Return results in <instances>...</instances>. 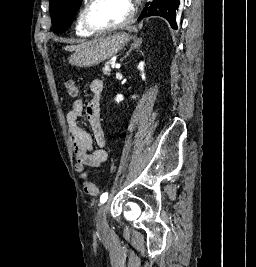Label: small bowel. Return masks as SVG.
Segmentation results:
<instances>
[{"mask_svg":"<svg viewBox=\"0 0 256 267\" xmlns=\"http://www.w3.org/2000/svg\"><path fill=\"white\" fill-rule=\"evenodd\" d=\"M91 97L85 108L92 136L79 126V120L84 115V103L81 99L75 100L71 110L67 113L66 121L73 142V153L76 168L82 171L85 166L98 167L108 159L105 150V136L100 121V104L103 92V82L92 79L89 83ZM93 140L96 146H93Z\"/></svg>","mask_w":256,"mask_h":267,"instance_id":"small-bowel-1","label":"small bowel"}]
</instances>
